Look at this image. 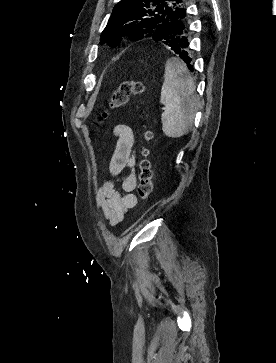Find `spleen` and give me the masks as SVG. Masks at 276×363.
<instances>
[{
  "label": "spleen",
  "instance_id": "3e777b00",
  "mask_svg": "<svg viewBox=\"0 0 276 363\" xmlns=\"http://www.w3.org/2000/svg\"><path fill=\"white\" fill-rule=\"evenodd\" d=\"M195 83L186 65L176 57L166 61L160 103L162 131L167 137L179 138L192 126L197 106Z\"/></svg>",
  "mask_w": 276,
  "mask_h": 363
}]
</instances>
